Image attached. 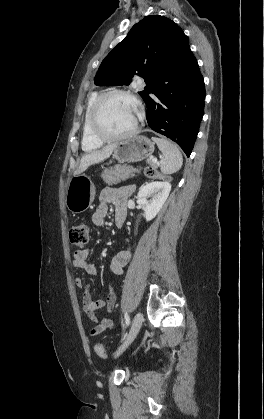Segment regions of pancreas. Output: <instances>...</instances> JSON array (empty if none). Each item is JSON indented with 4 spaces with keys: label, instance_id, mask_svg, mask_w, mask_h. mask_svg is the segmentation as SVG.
<instances>
[{
    "label": "pancreas",
    "instance_id": "cf45deb5",
    "mask_svg": "<svg viewBox=\"0 0 264 419\" xmlns=\"http://www.w3.org/2000/svg\"><path fill=\"white\" fill-rule=\"evenodd\" d=\"M147 163L152 167H157L155 163L152 162V159H148ZM141 168H134L127 165H115L114 167L106 168L101 173V178L108 185H115L121 182V180H126L135 176V173H140Z\"/></svg>",
    "mask_w": 264,
    "mask_h": 419
}]
</instances>
